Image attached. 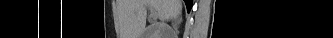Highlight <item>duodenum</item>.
Here are the masks:
<instances>
[{"mask_svg":"<svg viewBox=\"0 0 333 38\" xmlns=\"http://www.w3.org/2000/svg\"><path fill=\"white\" fill-rule=\"evenodd\" d=\"M147 34H148L147 32H144V36H147Z\"/></svg>","mask_w":333,"mask_h":38,"instance_id":"1","label":"duodenum"}]
</instances>
